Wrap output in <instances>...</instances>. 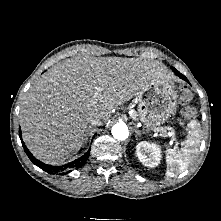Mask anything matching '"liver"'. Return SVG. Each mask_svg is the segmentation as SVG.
Returning a JSON list of instances; mask_svg holds the SVG:
<instances>
[{
    "label": "liver",
    "instance_id": "obj_1",
    "mask_svg": "<svg viewBox=\"0 0 221 221\" xmlns=\"http://www.w3.org/2000/svg\"><path fill=\"white\" fill-rule=\"evenodd\" d=\"M167 71L157 61L128 58L66 59L26 93L19 115L23 140L47 164H59L83 145L92 118L107 124L121 105Z\"/></svg>",
    "mask_w": 221,
    "mask_h": 221
}]
</instances>
